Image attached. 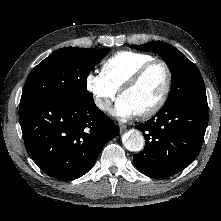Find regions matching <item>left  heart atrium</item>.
<instances>
[{
    "label": "left heart atrium",
    "mask_w": 221,
    "mask_h": 221,
    "mask_svg": "<svg viewBox=\"0 0 221 221\" xmlns=\"http://www.w3.org/2000/svg\"><path fill=\"white\" fill-rule=\"evenodd\" d=\"M113 115L126 120L135 115L133 109L129 104L121 97L117 100L114 108L112 109Z\"/></svg>",
    "instance_id": "left-heart-atrium-1"
}]
</instances>
